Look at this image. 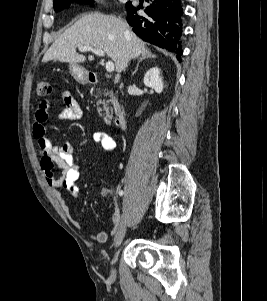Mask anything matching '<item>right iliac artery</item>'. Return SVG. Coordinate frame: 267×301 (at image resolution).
I'll use <instances>...</instances> for the list:
<instances>
[{
  "mask_svg": "<svg viewBox=\"0 0 267 301\" xmlns=\"http://www.w3.org/2000/svg\"><path fill=\"white\" fill-rule=\"evenodd\" d=\"M124 192L122 190L119 191V195L122 196Z\"/></svg>",
  "mask_w": 267,
  "mask_h": 301,
  "instance_id": "82829eb1",
  "label": "right iliac artery"
}]
</instances>
